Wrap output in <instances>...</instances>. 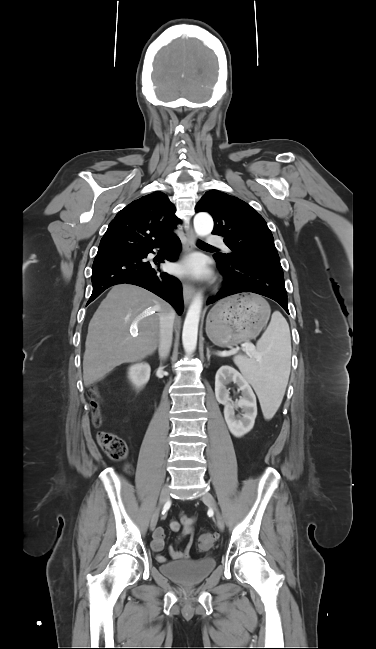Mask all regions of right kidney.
<instances>
[{
    "mask_svg": "<svg viewBox=\"0 0 376 649\" xmlns=\"http://www.w3.org/2000/svg\"><path fill=\"white\" fill-rule=\"evenodd\" d=\"M151 368L147 363L133 364L128 370V378L135 388H142L150 379Z\"/></svg>",
    "mask_w": 376,
    "mask_h": 649,
    "instance_id": "obj_1",
    "label": "right kidney"
}]
</instances>
